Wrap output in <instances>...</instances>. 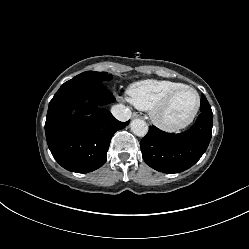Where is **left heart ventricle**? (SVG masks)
<instances>
[{
    "mask_svg": "<svg viewBox=\"0 0 249 249\" xmlns=\"http://www.w3.org/2000/svg\"><path fill=\"white\" fill-rule=\"evenodd\" d=\"M196 97L190 90L178 92L168 107L162 112V118L170 123H176L184 120L193 110Z\"/></svg>",
    "mask_w": 249,
    "mask_h": 249,
    "instance_id": "obj_1",
    "label": "left heart ventricle"
}]
</instances>
